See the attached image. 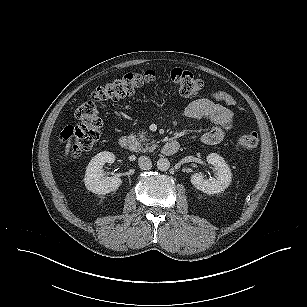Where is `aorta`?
Wrapping results in <instances>:
<instances>
[{"label": "aorta", "mask_w": 307, "mask_h": 307, "mask_svg": "<svg viewBox=\"0 0 307 307\" xmlns=\"http://www.w3.org/2000/svg\"><path fill=\"white\" fill-rule=\"evenodd\" d=\"M170 167V162L167 158H160L157 161V168L160 171H167Z\"/></svg>", "instance_id": "1"}]
</instances>
